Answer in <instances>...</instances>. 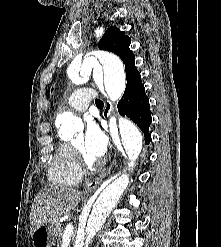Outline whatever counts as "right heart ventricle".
Segmentation results:
<instances>
[{
  "label": "right heart ventricle",
  "mask_w": 221,
  "mask_h": 247,
  "mask_svg": "<svg viewBox=\"0 0 221 247\" xmlns=\"http://www.w3.org/2000/svg\"><path fill=\"white\" fill-rule=\"evenodd\" d=\"M82 175V169L72 145L66 142L59 143L48 170L49 180L56 185L73 186L81 181Z\"/></svg>",
  "instance_id": "1"
}]
</instances>
